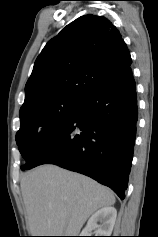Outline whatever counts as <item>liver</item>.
<instances>
[{
	"mask_svg": "<svg viewBox=\"0 0 158 237\" xmlns=\"http://www.w3.org/2000/svg\"><path fill=\"white\" fill-rule=\"evenodd\" d=\"M20 187L32 236H77L94 212L115 203L109 188L55 165L26 172Z\"/></svg>",
	"mask_w": 158,
	"mask_h": 237,
	"instance_id": "6515ba94",
	"label": "liver"
}]
</instances>
